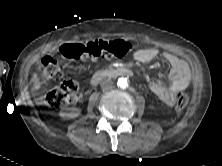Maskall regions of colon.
<instances>
[{"mask_svg":"<svg viewBox=\"0 0 222 166\" xmlns=\"http://www.w3.org/2000/svg\"><path fill=\"white\" fill-rule=\"evenodd\" d=\"M132 47V44L125 40H95L87 43H69L60 48L59 56L68 60L95 61L99 58L122 57L130 52ZM62 75L63 69L56 57L46 56L42 59L40 63V76L43 79H59ZM78 96V82L69 79L46 93L41 98V102L50 108L60 109L76 101ZM188 101L189 98L186 94H179L175 108L177 110L184 109Z\"/></svg>","mask_w":222,"mask_h":166,"instance_id":"1","label":"colon"}]
</instances>
